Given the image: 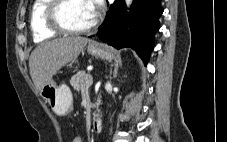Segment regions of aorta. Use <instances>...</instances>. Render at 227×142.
I'll return each instance as SVG.
<instances>
[{"mask_svg":"<svg viewBox=\"0 0 227 142\" xmlns=\"http://www.w3.org/2000/svg\"><path fill=\"white\" fill-rule=\"evenodd\" d=\"M132 3V0H126L127 6H129Z\"/></svg>","mask_w":227,"mask_h":142,"instance_id":"aorta-1","label":"aorta"}]
</instances>
